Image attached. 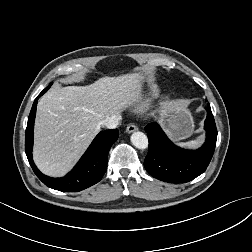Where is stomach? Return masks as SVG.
<instances>
[{
  "mask_svg": "<svg viewBox=\"0 0 252 252\" xmlns=\"http://www.w3.org/2000/svg\"><path fill=\"white\" fill-rule=\"evenodd\" d=\"M159 119L168 135L174 140L188 138L193 133V117L181 101L164 103Z\"/></svg>",
  "mask_w": 252,
  "mask_h": 252,
  "instance_id": "0dacf381",
  "label": "stomach"
}]
</instances>
